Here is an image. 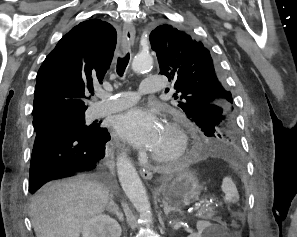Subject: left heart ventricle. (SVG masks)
Here are the masks:
<instances>
[{
  "mask_svg": "<svg viewBox=\"0 0 297 237\" xmlns=\"http://www.w3.org/2000/svg\"><path fill=\"white\" fill-rule=\"evenodd\" d=\"M176 148V137L166 128V126H163L158 142L155 145V147L151 150V152L160 155H168L174 152Z\"/></svg>",
  "mask_w": 297,
  "mask_h": 237,
  "instance_id": "obj_1",
  "label": "left heart ventricle"
}]
</instances>
